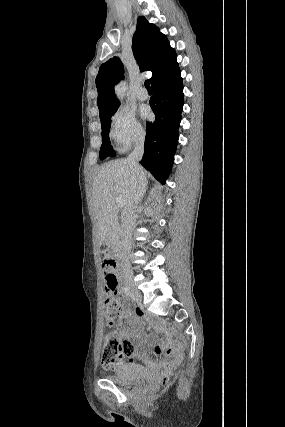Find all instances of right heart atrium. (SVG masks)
Returning a JSON list of instances; mask_svg holds the SVG:
<instances>
[{"label": "right heart atrium", "instance_id": "right-heart-atrium-1", "mask_svg": "<svg viewBox=\"0 0 285 427\" xmlns=\"http://www.w3.org/2000/svg\"><path fill=\"white\" fill-rule=\"evenodd\" d=\"M110 137L120 151H125L140 142L144 132L134 113L120 107L111 118Z\"/></svg>", "mask_w": 285, "mask_h": 427}]
</instances>
